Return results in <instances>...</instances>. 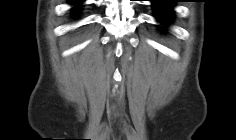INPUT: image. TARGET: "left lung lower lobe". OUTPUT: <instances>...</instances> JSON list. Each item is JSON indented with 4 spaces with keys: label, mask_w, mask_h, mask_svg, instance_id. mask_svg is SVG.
I'll list each match as a JSON object with an SVG mask.
<instances>
[{
    "label": "left lung lower lobe",
    "mask_w": 236,
    "mask_h": 140,
    "mask_svg": "<svg viewBox=\"0 0 236 140\" xmlns=\"http://www.w3.org/2000/svg\"><path fill=\"white\" fill-rule=\"evenodd\" d=\"M156 12V18L163 24L172 19V7L178 0H151Z\"/></svg>",
    "instance_id": "1"
}]
</instances>
